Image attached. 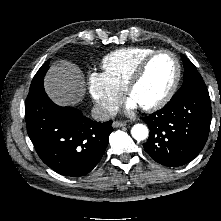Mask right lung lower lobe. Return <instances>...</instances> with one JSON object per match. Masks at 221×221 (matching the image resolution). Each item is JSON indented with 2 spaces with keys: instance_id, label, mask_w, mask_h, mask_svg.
<instances>
[{
  "instance_id": "1",
  "label": "right lung lower lobe",
  "mask_w": 221,
  "mask_h": 221,
  "mask_svg": "<svg viewBox=\"0 0 221 221\" xmlns=\"http://www.w3.org/2000/svg\"><path fill=\"white\" fill-rule=\"evenodd\" d=\"M29 137L42 161L59 174L83 176L100 161L113 131L73 107L54 104L43 83L30 87L25 103Z\"/></svg>"
}]
</instances>
